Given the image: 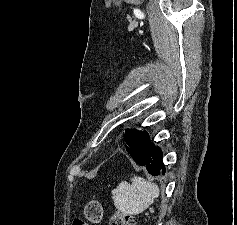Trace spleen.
I'll return each mask as SVG.
<instances>
[{"instance_id":"1","label":"spleen","mask_w":237,"mask_h":225,"mask_svg":"<svg viewBox=\"0 0 237 225\" xmlns=\"http://www.w3.org/2000/svg\"><path fill=\"white\" fill-rule=\"evenodd\" d=\"M114 206L123 214L138 215L159 196V187L142 177L134 176L131 184L121 182L112 190Z\"/></svg>"}]
</instances>
